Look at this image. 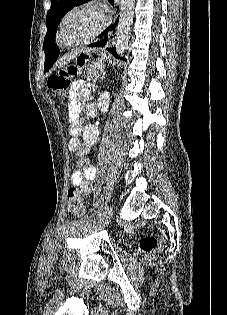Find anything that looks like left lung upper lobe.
Segmentation results:
<instances>
[{"instance_id": "obj_1", "label": "left lung upper lobe", "mask_w": 227, "mask_h": 315, "mask_svg": "<svg viewBox=\"0 0 227 315\" xmlns=\"http://www.w3.org/2000/svg\"><path fill=\"white\" fill-rule=\"evenodd\" d=\"M88 1L89 0H51V7L46 17L47 33L43 43L44 50H46L49 45L55 43L56 29L61 18L74 6L81 5Z\"/></svg>"}]
</instances>
